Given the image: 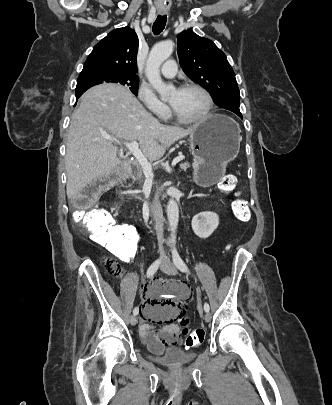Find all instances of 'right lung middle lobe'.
<instances>
[{
    "label": "right lung middle lobe",
    "mask_w": 332,
    "mask_h": 405,
    "mask_svg": "<svg viewBox=\"0 0 332 405\" xmlns=\"http://www.w3.org/2000/svg\"><path fill=\"white\" fill-rule=\"evenodd\" d=\"M105 82L121 84L130 89L131 92L137 96L139 84L138 77L109 70L81 72L77 80L76 93L85 92L90 87Z\"/></svg>",
    "instance_id": "1"
}]
</instances>
